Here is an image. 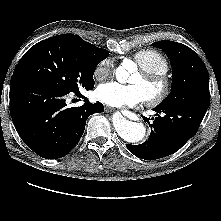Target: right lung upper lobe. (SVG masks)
Instances as JSON below:
<instances>
[{
	"instance_id": "obj_1",
	"label": "right lung upper lobe",
	"mask_w": 221,
	"mask_h": 221,
	"mask_svg": "<svg viewBox=\"0 0 221 221\" xmlns=\"http://www.w3.org/2000/svg\"><path fill=\"white\" fill-rule=\"evenodd\" d=\"M66 35H68L69 37H72V38H74V39H77V40L81 41V42L84 43L89 49H91V50L94 51L95 53H97V54H99V55H101V56H103V57H105V58L109 55V52L106 51L105 49L98 48V47L92 45L91 43H88V42L82 40L78 35H74V34H66Z\"/></svg>"
}]
</instances>
